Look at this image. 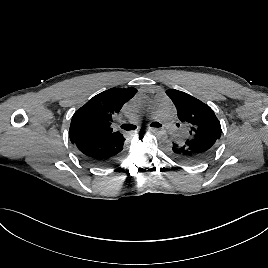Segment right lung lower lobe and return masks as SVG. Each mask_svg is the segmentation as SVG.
<instances>
[{"label": "right lung lower lobe", "mask_w": 268, "mask_h": 268, "mask_svg": "<svg viewBox=\"0 0 268 268\" xmlns=\"http://www.w3.org/2000/svg\"><path fill=\"white\" fill-rule=\"evenodd\" d=\"M124 142L125 138L119 134L102 140H84L74 145L83 160L96 166H109L122 156Z\"/></svg>", "instance_id": "98d812e1"}]
</instances>
